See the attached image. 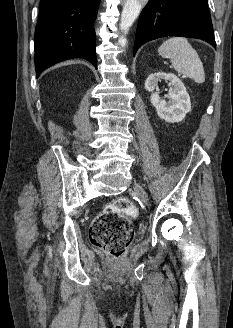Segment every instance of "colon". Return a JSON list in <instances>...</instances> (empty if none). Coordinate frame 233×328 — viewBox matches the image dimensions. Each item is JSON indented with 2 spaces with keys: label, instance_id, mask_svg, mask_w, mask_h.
<instances>
[{
  "label": "colon",
  "instance_id": "obj_1",
  "mask_svg": "<svg viewBox=\"0 0 233 328\" xmlns=\"http://www.w3.org/2000/svg\"><path fill=\"white\" fill-rule=\"evenodd\" d=\"M136 215L137 208L131 200L126 197L117 198L92 222L90 241L110 256L120 258L133 239L130 219Z\"/></svg>",
  "mask_w": 233,
  "mask_h": 328
}]
</instances>
